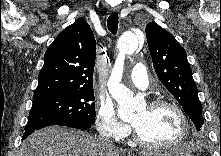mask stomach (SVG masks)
Segmentation results:
<instances>
[{"instance_id":"1","label":"stomach","mask_w":221,"mask_h":156,"mask_svg":"<svg viewBox=\"0 0 221 156\" xmlns=\"http://www.w3.org/2000/svg\"><path fill=\"white\" fill-rule=\"evenodd\" d=\"M158 156H194L191 151L186 150L185 146L166 149L160 152Z\"/></svg>"}]
</instances>
